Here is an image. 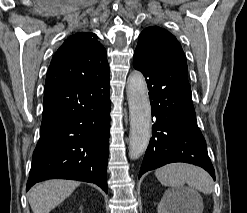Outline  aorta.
Masks as SVG:
<instances>
[{"label":"aorta","instance_id":"762f6f07","mask_svg":"<svg viewBox=\"0 0 247 213\" xmlns=\"http://www.w3.org/2000/svg\"><path fill=\"white\" fill-rule=\"evenodd\" d=\"M126 93L130 118L129 156L137 159L146 151L151 138V105L142 73L133 71L129 75Z\"/></svg>","mask_w":247,"mask_h":213}]
</instances>
